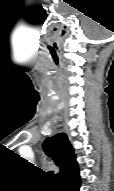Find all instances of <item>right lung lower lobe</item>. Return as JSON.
Masks as SVG:
<instances>
[{
	"mask_svg": "<svg viewBox=\"0 0 114 191\" xmlns=\"http://www.w3.org/2000/svg\"><path fill=\"white\" fill-rule=\"evenodd\" d=\"M60 191H79L80 176L78 169L66 175L59 181Z\"/></svg>",
	"mask_w": 114,
	"mask_h": 191,
	"instance_id": "obj_1",
	"label": "right lung lower lobe"
}]
</instances>
